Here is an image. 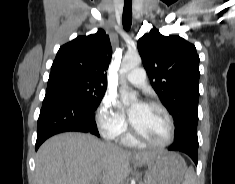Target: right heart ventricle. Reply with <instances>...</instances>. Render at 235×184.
Returning a JSON list of instances; mask_svg holds the SVG:
<instances>
[{
  "mask_svg": "<svg viewBox=\"0 0 235 184\" xmlns=\"http://www.w3.org/2000/svg\"><path fill=\"white\" fill-rule=\"evenodd\" d=\"M121 142L127 146H137L138 143L133 139L130 133H125L121 136Z\"/></svg>",
  "mask_w": 235,
  "mask_h": 184,
  "instance_id": "right-heart-ventricle-1",
  "label": "right heart ventricle"
}]
</instances>
